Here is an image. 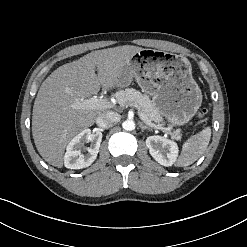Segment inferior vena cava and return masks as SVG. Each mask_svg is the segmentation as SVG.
<instances>
[{
    "instance_id": "1",
    "label": "inferior vena cava",
    "mask_w": 247,
    "mask_h": 247,
    "mask_svg": "<svg viewBox=\"0 0 247 247\" xmlns=\"http://www.w3.org/2000/svg\"><path fill=\"white\" fill-rule=\"evenodd\" d=\"M119 120V115L113 111H106L99 115L96 119V124L100 128H109Z\"/></svg>"
}]
</instances>
